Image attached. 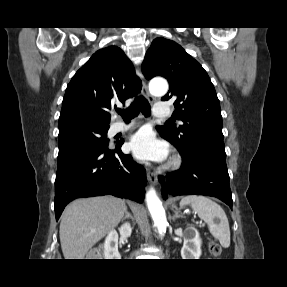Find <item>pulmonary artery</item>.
Instances as JSON below:
<instances>
[{"mask_svg":"<svg viewBox=\"0 0 287 287\" xmlns=\"http://www.w3.org/2000/svg\"><path fill=\"white\" fill-rule=\"evenodd\" d=\"M153 114L158 117H167L171 114L170 108L166 104H155ZM134 125V121L130 123L116 122L112 127L113 133L125 131Z\"/></svg>","mask_w":287,"mask_h":287,"instance_id":"1","label":"pulmonary artery"}]
</instances>
